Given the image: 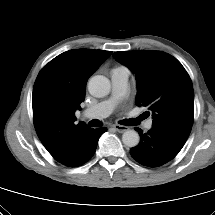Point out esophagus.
Returning a JSON list of instances; mask_svg holds the SVG:
<instances>
[{
    "mask_svg": "<svg viewBox=\"0 0 215 215\" xmlns=\"http://www.w3.org/2000/svg\"><path fill=\"white\" fill-rule=\"evenodd\" d=\"M113 128L119 133H123L129 129L127 126H123V125H119V124L113 125Z\"/></svg>",
    "mask_w": 215,
    "mask_h": 215,
    "instance_id": "1",
    "label": "esophagus"
}]
</instances>
